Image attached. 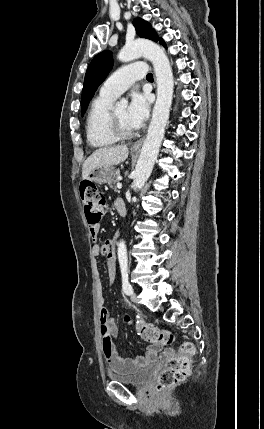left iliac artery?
<instances>
[{
    "label": "left iliac artery",
    "instance_id": "left-iliac-artery-1",
    "mask_svg": "<svg viewBox=\"0 0 264 429\" xmlns=\"http://www.w3.org/2000/svg\"><path fill=\"white\" fill-rule=\"evenodd\" d=\"M121 274H122V288H123V292L127 295H130L133 293V288L131 286V284L129 283L128 280V270L127 268H122L121 270Z\"/></svg>",
    "mask_w": 264,
    "mask_h": 429
}]
</instances>
